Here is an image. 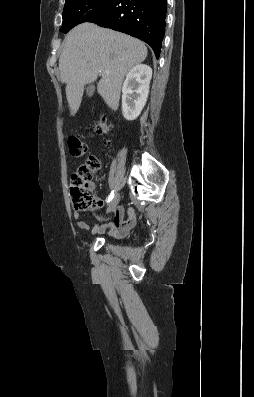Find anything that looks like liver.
<instances>
[{
	"label": "liver",
	"mask_w": 254,
	"mask_h": 397,
	"mask_svg": "<svg viewBox=\"0 0 254 397\" xmlns=\"http://www.w3.org/2000/svg\"><path fill=\"white\" fill-rule=\"evenodd\" d=\"M147 53L145 44L129 35L88 22L74 27L65 37L59 58L71 115L80 107L84 86L98 76L102 77L97 85L99 95L117 110L125 75L143 62Z\"/></svg>",
	"instance_id": "6515ba94"
}]
</instances>
